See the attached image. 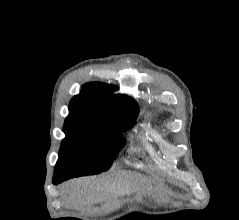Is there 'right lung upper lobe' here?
I'll list each match as a JSON object with an SVG mask.
<instances>
[{"instance_id": "1", "label": "right lung upper lobe", "mask_w": 239, "mask_h": 220, "mask_svg": "<svg viewBox=\"0 0 239 220\" xmlns=\"http://www.w3.org/2000/svg\"><path fill=\"white\" fill-rule=\"evenodd\" d=\"M117 90L101 82L85 84L82 92L72 98L65 123L108 126L136 118L137 103L127 95L114 94Z\"/></svg>"}]
</instances>
